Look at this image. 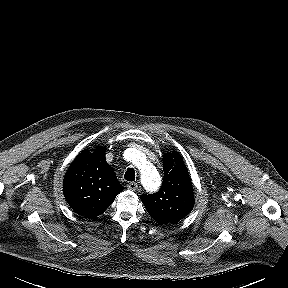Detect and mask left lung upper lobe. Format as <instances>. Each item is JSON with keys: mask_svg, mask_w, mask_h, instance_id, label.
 <instances>
[{"mask_svg": "<svg viewBox=\"0 0 288 288\" xmlns=\"http://www.w3.org/2000/svg\"><path fill=\"white\" fill-rule=\"evenodd\" d=\"M164 180L155 194L141 195L151 217L160 224L177 223L194 206L192 182L178 153H166L163 159Z\"/></svg>", "mask_w": 288, "mask_h": 288, "instance_id": "5c2ea615", "label": "left lung upper lobe"}]
</instances>
